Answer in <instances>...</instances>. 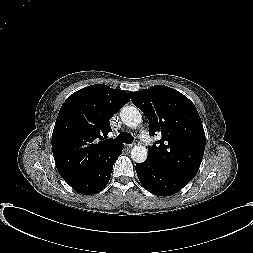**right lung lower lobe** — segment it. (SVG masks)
Wrapping results in <instances>:
<instances>
[{
  "instance_id": "obj_1",
  "label": "right lung lower lobe",
  "mask_w": 253,
  "mask_h": 253,
  "mask_svg": "<svg viewBox=\"0 0 253 253\" xmlns=\"http://www.w3.org/2000/svg\"><path fill=\"white\" fill-rule=\"evenodd\" d=\"M124 145L117 147L99 166L78 177L65 180L74 190L82 194L100 192L109 182L113 164L121 155Z\"/></svg>"
}]
</instances>
